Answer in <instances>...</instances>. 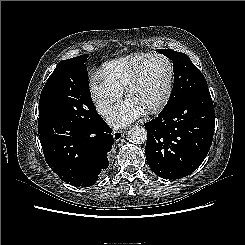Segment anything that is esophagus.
Returning <instances> with one entry per match:
<instances>
[{
	"label": "esophagus",
	"instance_id": "34e87169",
	"mask_svg": "<svg viewBox=\"0 0 245 245\" xmlns=\"http://www.w3.org/2000/svg\"><path fill=\"white\" fill-rule=\"evenodd\" d=\"M124 136V132L121 130H115L113 132V137L115 141H119Z\"/></svg>",
	"mask_w": 245,
	"mask_h": 245
}]
</instances>
